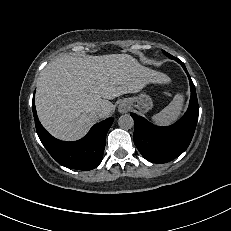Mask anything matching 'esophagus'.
<instances>
[{"mask_svg": "<svg viewBox=\"0 0 231 231\" xmlns=\"http://www.w3.org/2000/svg\"><path fill=\"white\" fill-rule=\"evenodd\" d=\"M128 110H129V106H128L127 103L121 102V103L119 104V106H118V111H119L120 113H126V112H128Z\"/></svg>", "mask_w": 231, "mask_h": 231, "instance_id": "esophagus-1", "label": "esophagus"}]
</instances>
